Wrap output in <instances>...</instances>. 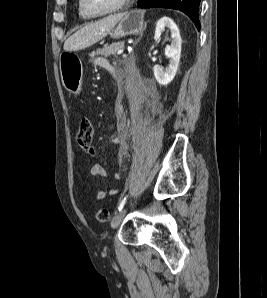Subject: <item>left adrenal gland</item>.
<instances>
[{
	"label": "left adrenal gland",
	"instance_id": "obj_1",
	"mask_svg": "<svg viewBox=\"0 0 267 298\" xmlns=\"http://www.w3.org/2000/svg\"><path fill=\"white\" fill-rule=\"evenodd\" d=\"M142 38V36L139 38V39H137V41L135 42V44L137 43V42H139V40Z\"/></svg>",
	"mask_w": 267,
	"mask_h": 298
}]
</instances>
